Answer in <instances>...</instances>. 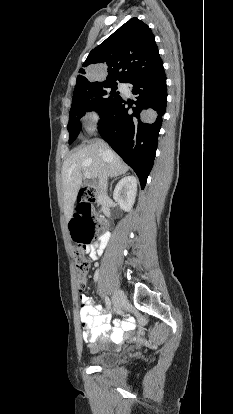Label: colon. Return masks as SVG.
Returning a JSON list of instances; mask_svg holds the SVG:
<instances>
[{"instance_id":"5ec220e1","label":"colon","mask_w":233,"mask_h":414,"mask_svg":"<svg viewBox=\"0 0 233 414\" xmlns=\"http://www.w3.org/2000/svg\"><path fill=\"white\" fill-rule=\"evenodd\" d=\"M98 191L90 189L86 195L96 198ZM104 229L103 221L93 213L90 204H86L76 210L70 221V231L75 241L73 247V259L77 272V282L80 291L86 286L87 273L90 263L85 257L86 248L93 242L94 238Z\"/></svg>"}]
</instances>
